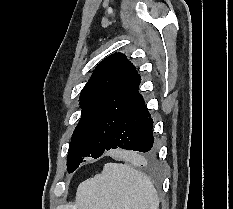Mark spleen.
<instances>
[{
	"mask_svg": "<svg viewBox=\"0 0 233 209\" xmlns=\"http://www.w3.org/2000/svg\"><path fill=\"white\" fill-rule=\"evenodd\" d=\"M79 209H159L150 179L127 164L107 163L77 188Z\"/></svg>",
	"mask_w": 233,
	"mask_h": 209,
	"instance_id": "spleen-1",
	"label": "spleen"
}]
</instances>
